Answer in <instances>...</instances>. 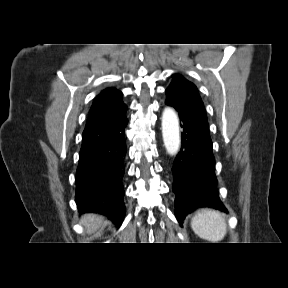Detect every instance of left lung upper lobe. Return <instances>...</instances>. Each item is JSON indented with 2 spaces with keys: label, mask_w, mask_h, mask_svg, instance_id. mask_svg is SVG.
<instances>
[{
  "label": "left lung upper lobe",
  "mask_w": 288,
  "mask_h": 288,
  "mask_svg": "<svg viewBox=\"0 0 288 288\" xmlns=\"http://www.w3.org/2000/svg\"><path fill=\"white\" fill-rule=\"evenodd\" d=\"M173 76V81L166 89V94L174 95L184 99L201 100V97L198 94L197 87L192 82L186 80L183 76L178 74Z\"/></svg>",
  "instance_id": "5c2ea615"
}]
</instances>
